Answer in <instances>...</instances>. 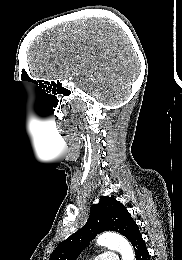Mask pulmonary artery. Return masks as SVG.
Instances as JSON below:
<instances>
[{
  "instance_id": "e3ab8cb5",
  "label": "pulmonary artery",
  "mask_w": 182,
  "mask_h": 260,
  "mask_svg": "<svg viewBox=\"0 0 182 260\" xmlns=\"http://www.w3.org/2000/svg\"><path fill=\"white\" fill-rule=\"evenodd\" d=\"M94 260H119L118 256L113 252H104L97 256Z\"/></svg>"
}]
</instances>
